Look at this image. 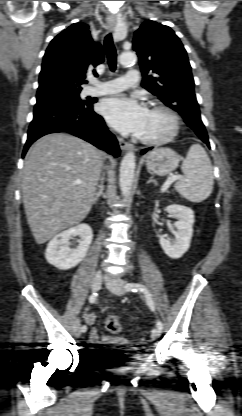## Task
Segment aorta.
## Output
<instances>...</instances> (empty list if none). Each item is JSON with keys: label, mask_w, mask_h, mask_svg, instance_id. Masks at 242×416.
I'll return each instance as SVG.
<instances>
[{"label": "aorta", "mask_w": 242, "mask_h": 416, "mask_svg": "<svg viewBox=\"0 0 242 416\" xmlns=\"http://www.w3.org/2000/svg\"><path fill=\"white\" fill-rule=\"evenodd\" d=\"M136 61V55L133 52H123L119 57V62L123 66H128ZM135 155L133 152L125 154L120 165L119 185L124 197L130 196L134 174H135Z\"/></svg>", "instance_id": "aorta-1"}]
</instances>
